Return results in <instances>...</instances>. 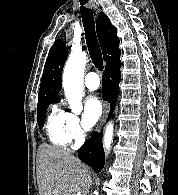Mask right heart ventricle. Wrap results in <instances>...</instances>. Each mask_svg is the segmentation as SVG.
Returning a JSON list of instances; mask_svg holds the SVG:
<instances>
[{
    "label": "right heart ventricle",
    "mask_w": 178,
    "mask_h": 195,
    "mask_svg": "<svg viewBox=\"0 0 178 195\" xmlns=\"http://www.w3.org/2000/svg\"><path fill=\"white\" fill-rule=\"evenodd\" d=\"M67 112L52 107L46 121V132L50 141L57 146H66L71 141L67 131Z\"/></svg>",
    "instance_id": "right-heart-ventricle-1"
}]
</instances>
